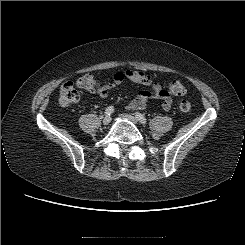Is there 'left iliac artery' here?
Returning <instances> with one entry per match:
<instances>
[{"label": "left iliac artery", "mask_w": 245, "mask_h": 245, "mask_svg": "<svg viewBox=\"0 0 245 245\" xmlns=\"http://www.w3.org/2000/svg\"><path fill=\"white\" fill-rule=\"evenodd\" d=\"M135 116H136V118L140 121L141 124H144V125H145V124L147 123L146 118H145L144 115H142L141 113L136 112V113H135Z\"/></svg>", "instance_id": "44dca946"}]
</instances>
